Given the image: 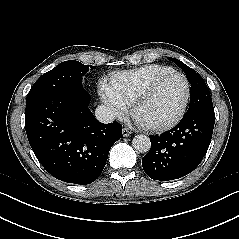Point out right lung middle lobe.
<instances>
[{
    "label": "right lung middle lobe",
    "instance_id": "obj_1",
    "mask_svg": "<svg viewBox=\"0 0 239 239\" xmlns=\"http://www.w3.org/2000/svg\"><path fill=\"white\" fill-rule=\"evenodd\" d=\"M90 68L94 69L95 66H90ZM88 70L89 66L78 61H64L43 74L34 83L26 100L50 93L85 91L82 86V77Z\"/></svg>",
    "mask_w": 239,
    "mask_h": 239
}]
</instances>
